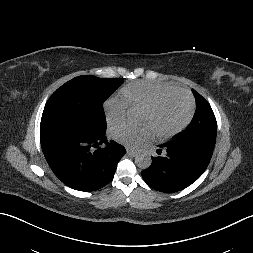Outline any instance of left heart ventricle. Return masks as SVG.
<instances>
[{
  "label": "left heart ventricle",
  "mask_w": 253,
  "mask_h": 253,
  "mask_svg": "<svg viewBox=\"0 0 253 253\" xmlns=\"http://www.w3.org/2000/svg\"><path fill=\"white\" fill-rule=\"evenodd\" d=\"M189 105L181 95L165 97L153 111L142 110L140 120L154 133H165L179 125L187 116Z\"/></svg>",
  "instance_id": "b2bd125f"
}]
</instances>
